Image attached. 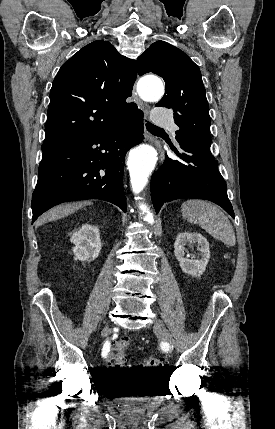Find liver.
Instances as JSON below:
<instances>
[{"label": "liver", "mask_w": 275, "mask_h": 429, "mask_svg": "<svg viewBox=\"0 0 275 429\" xmlns=\"http://www.w3.org/2000/svg\"><path fill=\"white\" fill-rule=\"evenodd\" d=\"M81 205H62V206H58L55 207L53 209H51L50 211H48L47 213H45L43 216H41L39 218V220L37 221L36 225H42L50 220H54L57 219L65 214H68L72 211H74L75 209L79 208Z\"/></svg>", "instance_id": "liver-1"}]
</instances>
